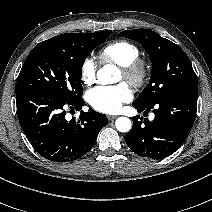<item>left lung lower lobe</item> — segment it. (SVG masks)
Masks as SVG:
<instances>
[{"mask_svg":"<svg viewBox=\"0 0 212 212\" xmlns=\"http://www.w3.org/2000/svg\"><path fill=\"white\" fill-rule=\"evenodd\" d=\"M198 87L174 91L159 101L143 106L132 103L137 111L155 114L153 121L133 117V127L125 135L130 149L142 157L162 159L174 153L186 140L195 120Z\"/></svg>","mask_w":212,"mask_h":212,"instance_id":"0a47b994","label":"left lung lower lobe"}]
</instances>
